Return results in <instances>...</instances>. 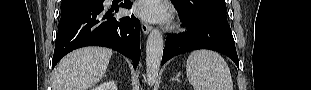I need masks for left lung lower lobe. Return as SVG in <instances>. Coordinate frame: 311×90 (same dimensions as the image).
<instances>
[{
	"instance_id": "left-lung-lower-lobe-1",
	"label": "left lung lower lobe",
	"mask_w": 311,
	"mask_h": 90,
	"mask_svg": "<svg viewBox=\"0 0 311 90\" xmlns=\"http://www.w3.org/2000/svg\"><path fill=\"white\" fill-rule=\"evenodd\" d=\"M181 19L187 23L188 31L167 37L162 65L176 55L197 49H210L230 57L239 67L234 39L228 24L212 18Z\"/></svg>"
}]
</instances>
